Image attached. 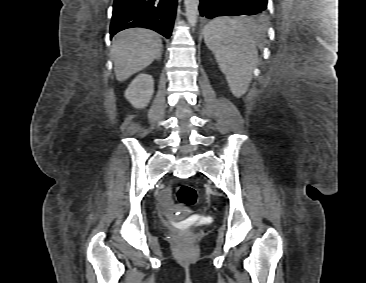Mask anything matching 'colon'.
<instances>
[{
	"mask_svg": "<svg viewBox=\"0 0 366 283\" xmlns=\"http://www.w3.org/2000/svg\"><path fill=\"white\" fill-rule=\"evenodd\" d=\"M176 198L179 203L185 206H192L197 201L196 190L187 183H179L175 189ZM180 235V233H176Z\"/></svg>",
	"mask_w": 366,
	"mask_h": 283,
	"instance_id": "5ec220e1",
	"label": "colon"
}]
</instances>
